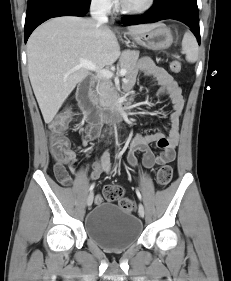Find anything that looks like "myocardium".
Segmentation results:
<instances>
[{
    "label": "myocardium",
    "mask_w": 231,
    "mask_h": 281,
    "mask_svg": "<svg viewBox=\"0 0 231 281\" xmlns=\"http://www.w3.org/2000/svg\"><path fill=\"white\" fill-rule=\"evenodd\" d=\"M156 0H147L146 3L139 7H129L123 3L120 4L121 11L129 15H142L148 13L155 6Z\"/></svg>",
    "instance_id": "obj_1"
}]
</instances>
